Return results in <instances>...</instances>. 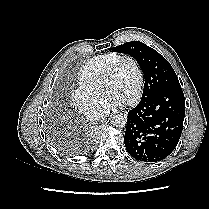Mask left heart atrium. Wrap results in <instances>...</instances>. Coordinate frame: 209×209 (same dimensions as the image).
<instances>
[{"label":"left heart atrium","mask_w":209,"mask_h":209,"mask_svg":"<svg viewBox=\"0 0 209 209\" xmlns=\"http://www.w3.org/2000/svg\"><path fill=\"white\" fill-rule=\"evenodd\" d=\"M106 105L108 107H116V106H121L124 103V100L119 98V97H109L106 101Z\"/></svg>","instance_id":"1"}]
</instances>
